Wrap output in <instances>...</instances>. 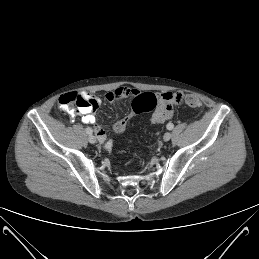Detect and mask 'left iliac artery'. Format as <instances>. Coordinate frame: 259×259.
<instances>
[{"mask_svg": "<svg viewBox=\"0 0 259 259\" xmlns=\"http://www.w3.org/2000/svg\"><path fill=\"white\" fill-rule=\"evenodd\" d=\"M166 127L168 130H172L174 128V125L173 123H168Z\"/></svg>", "mask_w": 259, "mask_h": 259, "instance_id": "1", "label": "left iliac artery"}]
</instances>
